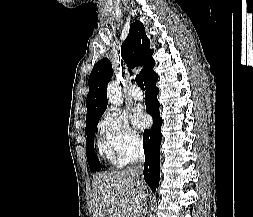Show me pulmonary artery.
I'll return each mask as SVG.
<instances>
[{
    "label": "pulmonary artery",
    "mask_w": 253,
    "mask_h": 217,
    "mask_svg": "<svg viewBox=\"0 0 253 217\" xmlns=\"http://www.w3.org/2000/svg\"><path fill=\"white\" fill-rule=\"evenodd\" d=\"M131 96L135 100H142L143 99V92L136 85H134L131 88Z\"/></svg>",
    "instance_id": "e3ab8cb5"
}]
</instances>
